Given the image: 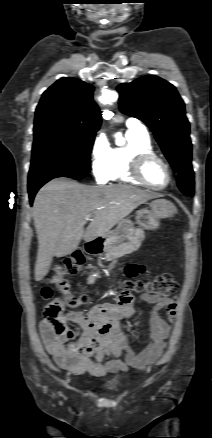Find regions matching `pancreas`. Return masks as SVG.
Segmentation results:
<instances>
[{
    "label": "pancreas",
    "mask_w": 212,
    "mask_h": 438,
    "mask_svg": "<svg viewBox=\"0 0 212 438\" xmlns=\"http://www.w3.org/2000/svg\"><path fill=\"white\" fill-rule=\"evenodd\" d=\"M144 237L143 231L135 229L132 236L127 238L125 241L108 248L106 250L105 259L108 261H116V259L119 257L137 251L140 248ZM94 279V277H90L91 281H94Z\"/></svg>",
    "instance_id": "cf45deb5"
}]
</instances>
